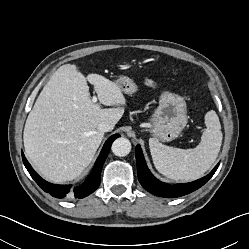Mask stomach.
Returning a JSON list of instances; mask_svg holds the SVG:
<instances>
[{"label":"stomach","instance_id":"obj_1","mask_svg":"<svg viewBox=\"0 0 249 249\" xmlns=\"http://www.w3.org/2000/svg\"><path fill=\"white\" fill-rule=\"evenodd\" d=\"M120 89L126 94L137 90L135 82L122 76L117 80ZM187 106L183 97L163 91L159 98V106L150 117L152 135L163 141H172L179 136L187 124Z\"/></svg>","mask_w":249,"mask_h":249}]
</instances>
